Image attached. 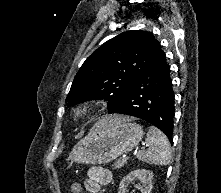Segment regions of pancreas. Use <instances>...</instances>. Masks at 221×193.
I'll list each match as a JSON object with an SVG mask.
<instances>
[{
	"instance_id": "1",
	"label": "pancreas",
	"mask_w": 221,
	"mask_h": 193,
	"mask_svg": "<svg viewBox=\"0 0 221 193\" xmlns=\"http://www.w3.org/2000/svg\"><path fill=\"white\" fill-rule=\"evenodd\" d=\"M126 161H123L122 159H118L114 164H113V168L114 169H120L121 167H123L125 165Z\"/></svg>"
}]
</instances>
